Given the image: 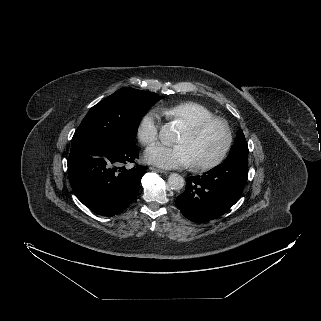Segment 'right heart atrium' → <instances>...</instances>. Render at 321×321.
<instances>
[{"label":"right heart atrium","instance_id":"d8ad5b80","mask_svg":"<svg viewBox=\"0 0 321 321\" xmlns=\"http://www.w3.org/2000/svg\"><path fill=\"white\" fill-rule=\"evenodd\" d=\"M158 118L157 111H150L141 118L137 127V136L142 144H151L159 138L160 126Z\"/></svg>","mask_w":321,"mask_h":321}]
</instances>
